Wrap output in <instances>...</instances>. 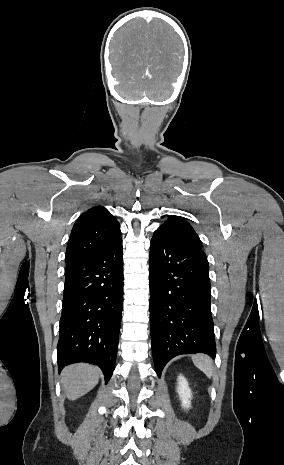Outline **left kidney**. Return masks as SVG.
<instances>
[{"label": "left kidney", "instance_id": "left-kidney-1", "mask_svg": "<svg viewBox=\"0 0 284 465\" xmlns=\"http://www.w3.org/2000/svg\"><path fill=\"white\" fill-rule=\"evenodd\" d=\"M178 387H177V393L182 401V407H184V409H189L191 403H190V399H191V391L188 387V383L186 381V379H184V377H182V375H180V377H178Z\"/></svg>", "mask_w": 284, "mask_h": 465}]
</instances>
